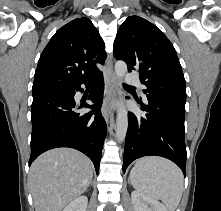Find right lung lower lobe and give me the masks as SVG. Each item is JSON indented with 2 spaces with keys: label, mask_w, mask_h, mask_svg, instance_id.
Here are the masks:
<instances>
[{
  "label": "right lung lower lobe",
  "mask_w": 221,
  "mask_h": 211,
  "mask_svg": "<svg viewBox=\"0 0 221 211\" xmlns=\"http://www.w3.org/2000/svg\"><path fill=\"white\" fill-rule=\"evenodd\" d=\"M81 84H92L88 99L94 104L76 106L74 95L83 91ZM104 81L102 72L92 78L57 87L33 97L31 121V163L43 152L57 147H70L87 155L98 173L107 126L99 110L103 101ZM93 108L85 114L78 109Z\"/></svg>",
  "instance_id": "1"
}]
</instances>
